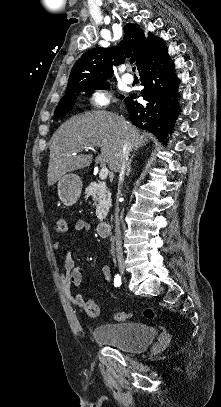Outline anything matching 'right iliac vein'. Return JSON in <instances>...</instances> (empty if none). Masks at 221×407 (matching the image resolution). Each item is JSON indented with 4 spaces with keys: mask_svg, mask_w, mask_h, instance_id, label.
I'll return each mask as SVG.
<instances>
[{
    "mask_svg": "<svg viewBox=\"0 0 221 407\" xmlns=\"http://www.w3.org/2000/svg\"><path fill=\"white\" fill-rule=\"evenodd\" d=\"M119 270H120L121 272H123V271H124V266H120V267H119Z\"/></svg>",
    "mask_w": 221,
    "mask_h": 407,
    "instance_id": "63e3f726",
    "label": "right iliac vein"
}]
</instances>
